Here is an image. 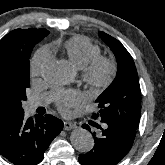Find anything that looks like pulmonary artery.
<instances>
[{
  "instance_id": "e3ab8cb5",
  "label": "pulmonary artery",
  "mask_w": 165,
  "mask_h": 165,
  "mask_svg": "<svg viewBox=\"0 0 165 165\" xmlns=\"http://www.w3.org/2000/svg\"><path fill=\"white\" fill-rule=\"evenodd\" d=\"M49 101V95H42L34 97L28 100L27 109L29 112H33L36 108L45 105Z\"/></svg>"
}]
</instances>
